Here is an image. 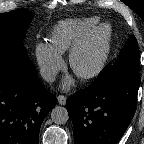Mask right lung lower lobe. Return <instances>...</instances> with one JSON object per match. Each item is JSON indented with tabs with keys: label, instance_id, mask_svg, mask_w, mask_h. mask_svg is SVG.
Instances as JSON below:
<instances>
[{
	"label": "right lung lower lobe",
	"instance_id": "right-lung-lower-lobe-1",
	"mask_svg": "<svg viewBox=\"0 0 144 144\" xmlns=\"http://www.w3.org/2000/svg\"><path fill=\"white\" fill-rule=\"evenodd\" d=\"M56 96L38 77L13 66L0 67V144H39L41 124Z\"/></svg>",
	"mask_w": 144,
	"mask_h": 144
}]
</instances>
